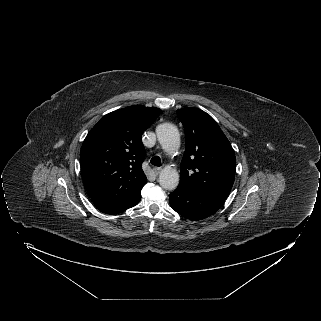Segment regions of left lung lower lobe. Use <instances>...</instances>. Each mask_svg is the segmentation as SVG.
Returning <instances> with one entry per match:
<instances>
[{
    "label": "left lung lower lobe",
    "mask_w": 321,
    "mask_h": 321,
    "mask_svg": "<svg viewBox=\"0 0 321 321\" xmlns=\"http://www.w3.org/2000/svg\"><path fill=\"white\" fill-rule=\"evenodd\" d=\"M225 199L194 194L176 189L169 195L171 207L180 215L190 220H201L214 214Z\"/></svg>",
    "instance_id": "obj_1"
}]
</instances>
